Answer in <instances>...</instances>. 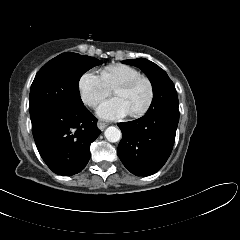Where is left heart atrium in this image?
<instances>
[{
  "mask_svg": "<svg viewBox=\"0 0 240 240\" xmlns=\"http://www.w3.org/2000/svg\"><path fill=\"white\" fill-rule=\"evenodd\" d=\"M96 113L102 119L116 120L129 115L131 109L123 98L116 96L100 104Z\"/></svg>",
  "mask_w": 240,
  "mask_h": 240,
  "instance_id": "obj_1",
  "label": "left heart atrium"
}]
</instances>
